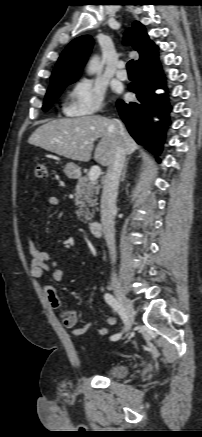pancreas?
<instances>
[{
    "label": "pancreas",
    "mask_w": 202,
    "mask_h": 437,
    "mask_svg": "<svg viewBox=\"0 0 202 437\" xmlns=\"http://www.w3.org/2000/svg\"><path fill=\"white\" fill-rule=\"evenodd\" d=\"M100 185L96 181H90L89 177L83 176L78 179L75 189V205L77 206L76 215L78 219L87 222L91 220L94 210L91 213L89 207L97 205V195Z\"/></svg>",
    "instance_id": "1"
}]
</instances>
